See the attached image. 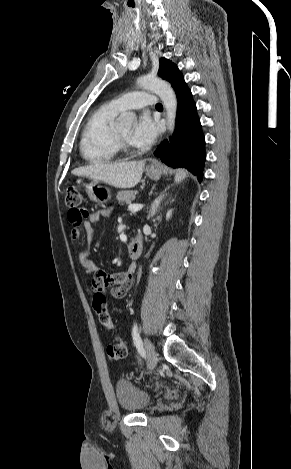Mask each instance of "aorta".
Returning a JSON list of instances; mask_svg holds the SVG:
<instances>
[{
    "instance_id": "762f6f07",
    "label": "aorta",
    "mask_w": 291,
    "mask_h": 469,
    "mask_svg": "<svg viewBox=\"0 0 291 469\" xmlns=\"http://www.w3.org/2000/svg\"><path fill=\"white\" fill-rule=\"evenodd\" d=\"M137 85L140 88L150 90L157 94L166 109L167 125L170 133L173 132L177 113V99L172 87L165 81L150 75L138 78ZM134 114L131 112L122 113L116 125L123 128H130L134 120Z\"/></svg>"
}]
</instances>
